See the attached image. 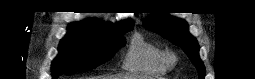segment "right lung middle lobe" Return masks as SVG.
I'll use <instances>...</instances> for the list:
<instances>
[{
  "label": "right lung middle lobe",
  "mask_w": 255,
  "mask_h": 79,
  "mask_svg": "<svg viewBox=\"0 0 255 79\" xmlns=\"http://www.w3.org/2000/svg\"><path fill=\"white\" fill-rule=\"evenodd\" d=\"M133 26L122 29L116 37L68 32L59 45V55L52 63L53 79L69 71H85L110 60L125 43L122 37Z\"/></svg>",
  "instance_id": "right-lung-middle-lobe-1"
}]
</instances>
